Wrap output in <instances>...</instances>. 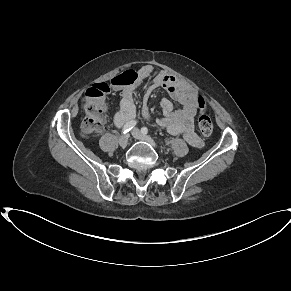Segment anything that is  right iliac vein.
Listing matches in <instances>:
<instances>
[{"label": "right iliac vein", "instance_id": "obj_1", "mask_svg": "<svg viewBox=\"0 0 291 291\" xmlns=\"http://www.w3.org/2000/svg\"><path fill=\"white\" fill-rule=\"evenodd\" d=\"M128 140H129V135L126 134V135H123L120 137L119 139V144L122 148H125L128 144Z\"/></svg>", "mask_w": 291, "mask_h": 291}]
</instances>
